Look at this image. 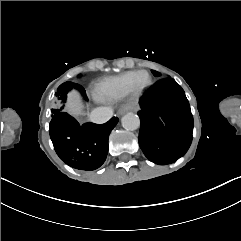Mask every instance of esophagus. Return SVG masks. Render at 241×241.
Wrapping results in <instances>:
<instances>
[{
	"instance_id": "obj_1",
	"label": "esophagus",
	"mask_w": 241,
	"mask_h": 241,
	"mask_svg": "<svg viewBox=\"0 0 241 241\" xmlns=\"http://www.w3.org/2000/svg\"><path fill=\"white\" fill-rule=\"evenodd\" d=\"M133 108H134V107H133L132 104H125V105H123V106L119 109L118 113H119V114H124L125 112L130 111V110H132Z\"/></svg>"
}]
</instances>
